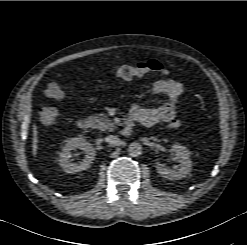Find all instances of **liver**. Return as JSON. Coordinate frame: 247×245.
I'll use <instances>...</instances> for the list:
<instances>
[{
    "label": "liver",
    "instance_id": "6515ba94",
    "mask_svg": "<svg viewBox=\"0 0 247 245\" xmlns=\"http://www.w3.org/2000/svg\"><path fill=\"white\" fill-rule=\"evenodd\" d=\"M37 128L34 126L33 128V142H32V154L35 157L37 154V148H38V135H37Z\"/></svg>",
    "mask_w": 247,
    "mask_h": 245
}]
</instances>
